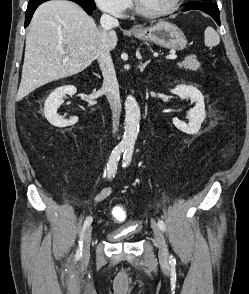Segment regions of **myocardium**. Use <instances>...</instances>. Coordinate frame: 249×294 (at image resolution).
Returning a JSON list of instances; mask_svg holds the SVG:
<instances>
[{"instance_id": "myocardium-1", "label": "myocardium", "mask_w": 249, "mask_h": 294, "mask_svg": "<svg viewBox=\"0 0 249 294\" xmlns=\"http://www.w3.org/2000/svg\"><path fill=\"white\" fill-rule=\"evenodd\" d=\"M183 2L184 0H175L174 4L167 9L160 10V11H152V10L146 9L141 4L140 0H132L135 11L139 13L140 15L149 17V18H157V17H162V16L172 14L179 9V7L182 5Z\"/></svg>"}]
</instances>
